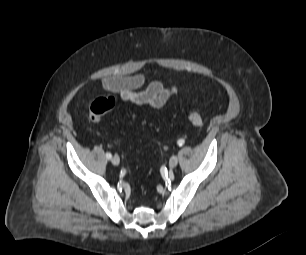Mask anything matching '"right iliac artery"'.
Listing matches in <instances>:
<instances>
[{"label":"right iliac artery","instance_id":"1","mask_svg":"<svg viewBox=\"0 0 306 255\" xmlns=\"http://www.w3.org/2000/svg\"><path fill=\"white\" fill-rule=\"evenodd\" d=\"M106 158H107V159H111V158H112V154L109 153V152H107V153H106Z\"/></svg>","mask_w":306,"mask_h":255}]
</instances>
